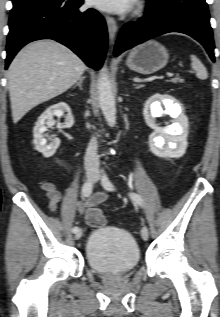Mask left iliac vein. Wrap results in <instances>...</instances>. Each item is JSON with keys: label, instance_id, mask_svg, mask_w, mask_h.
Instances as JSON below:
<instances>
[{"label": "left iliac vein", "instance_id": "obj_1", "mask_svg": "<svg viewBox=\"0 0 220 317\" xmlns=\"http://www.w3.org/2000/svg\"><path fill=\"white\" fill-rule=\"evenodd\" d=\"M95 181H97V178L95 179ZM141 237L145 241H147L149 238V231H148V228L146 226H143L141 229Z\"/></svg>", "mask_w": 220, "mask_h": 317}]
</instances>
